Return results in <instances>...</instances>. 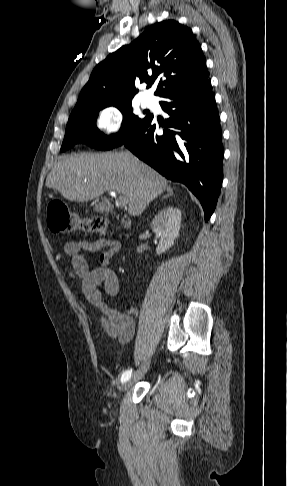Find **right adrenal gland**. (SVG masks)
<instances>
[{"instance_id":"2a0ac1e0","label":"right adrenal gland","mask_w":287,"mask_h":486,"mask_svg":"<svg viewBox=\"0 0 287 486\" xmlns=\"http://www.w3.org/2000/svg\"><path fill=\"white\" fill-rule=\"evenodd\" d=\"M167 192H168V194L167 195H164L162 197V199L163 198H168L169 196H172L173 195V191H172V189L170 187H167Z\"/></svg>"}]
</instances>
